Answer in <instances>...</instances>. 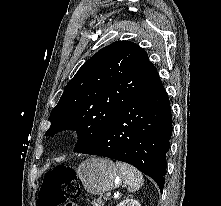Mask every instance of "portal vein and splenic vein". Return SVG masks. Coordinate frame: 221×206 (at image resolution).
<instances>
[{
  "label": "portal vein and splenic vein",
  "instance_id": "obj_1",
  "mask_svg": "<svg viewBox=\"0 0 221 206\" xmlns=\"http://www.w3.org/2000/svg\"><path fill=\"white\" fill-rule=\"evenodd\" d=\"M107 198L109 199L111 197V194L110 193H107Z\"/></svg>",
  "mask_w": 221,
  "mask_h": 206
}]
</instances>
